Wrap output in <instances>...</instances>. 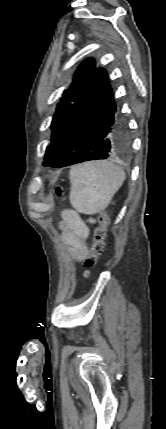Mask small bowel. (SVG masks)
<instances>
[{
	"label": "small bowel",
	"mask_w": 166,
	"mask_h": 429,
	"mask_svg": "<svg viewBox=\"0 0 166 429\" xmlns=\"http://www.w3.org/2000/svg\"><path fill=\"white\" fill-rule=\"evenodd\" d=\"M61 228L62 239L69 247L71 258L83 261L89 253L86 243L90 232L88 225L77 212L67 209L62 213Z\"/></svg>",
	"instance_id": "small-bowel-1"
}]
</instances>
